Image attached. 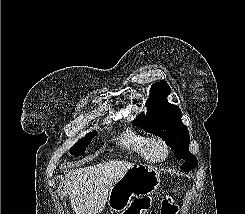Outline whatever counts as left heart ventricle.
Returning a JSON list of instances; mask_svg holds the SVG:
<instances>
[{"label":"left heart ventricle","instance_id":"b2bd125f","mask_svg":"<svg viewBox=\"0 0 245 214\" xmlns=\"http://www.w3.org/2000/svg\"><path fill=\"white\" fill-rule=\"evenodd\" d=\"M153 154L157 157H160L163 155V150L160 147H155L153 149Z\"/></svg>","mask_w":245,"mask_h":214}]
</instances>
